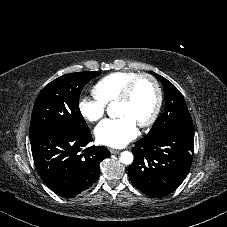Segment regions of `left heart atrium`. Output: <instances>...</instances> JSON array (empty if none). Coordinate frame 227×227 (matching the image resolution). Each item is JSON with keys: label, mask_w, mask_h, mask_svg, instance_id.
<instances>
[{"label": "left heart atrium", "mask_w": 227, "mask_h": 227, "mask_svg": "<svg viewBox=\"0 0 227 227\" xmlns=\"http://www.w3.org/2000/svg\"><path fill=\"white\" fill-rule=\"evenodd\" d=\"M136 135V124L125 116L105 119L95 128V136L98 142L115 148L125 146Z\"/></svg>", "instance_id": "39dd6f15"}]
</instances>
